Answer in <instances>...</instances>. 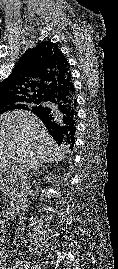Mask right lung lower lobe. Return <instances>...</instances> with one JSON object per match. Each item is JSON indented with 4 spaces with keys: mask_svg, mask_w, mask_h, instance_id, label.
Listing matches in <instances>:
<instances>
[{
    "mask_svg": "<svg viewBox=\"0 0 118 269\" xmlns=\"http://www.w3.org/2000/svg\"><path fill=\"white\" fill-rule=\"evenodd\" d=\"M71 97V113H70V120H69V125L68 127L66 125H64L63 123L58 126V131L56 132V136L57 139H55V141H57L58 145H68L70 146L71 149H73L74 143H75V131H76V98H75V89L73 86V83L67 88L66 91H63L61 94H59L57 96V99L64 100V97L68 96ZM55 102L51 101L50 103L46 104V106L44 107V109H46V112L48 111H55V107H54Z\"/></svg>",
    "mask_w": 118,
    "mask_h": 269,
    "instance_id": "98d812e1",
    "label": "right lung lower lobe"
}]
</instances>
